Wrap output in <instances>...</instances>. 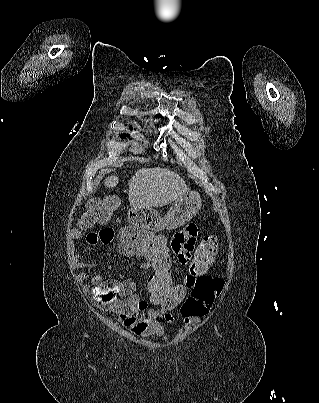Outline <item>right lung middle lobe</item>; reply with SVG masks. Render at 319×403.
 I'll list each match as a JSON object with an SVG mask.
<instances>
[{
  "label": "right lung middle lobe",
  "mask_w": 319,
  "mask_h": 403,
  "mask_svg": "<svg viewBox=\"0 0 319 403\" xmlns=\"http://www.w3.org/2000/svg\"><path fill=\"white\" fill-rule=\"evenodd\" d=\"M129 128L132 129L131 126H130ZM126 136H129V134H126V133H125V134H121V138H125Z\"/></svg>",
  "instance_id": "1"
}]
</instances>
